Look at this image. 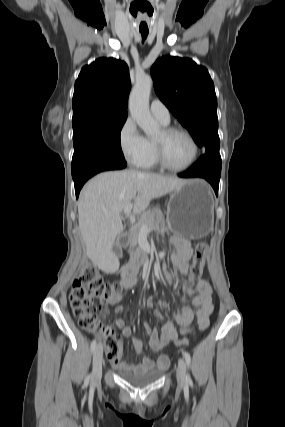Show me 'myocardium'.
Returning a JSON list of instances; mask_svg holds the SVG:
<instances>
[{
  "label": "myocardium",
  "instance_id": "1",
  "mask_svg": "<svg viewBox=\"0 0 285 427\" xmlns=\"http://www.w3.org/2000/svg\"><path fill=\"white\" fill-rule=\"evenodd\" d=\"M176 133H181L183 135H185L191 142L192 146H193V155L190 159V161L185 164L184 166L181 167H175L170 165L165 157V151H164V143L162 140H154V146H155V152H156V158L158 161V164L169 171H173V172H182V171H186L188 169H190L197 161L198 159V155H199V145L195 139V137L192 135V133L190 131H188L187 129L183 128V127H179V126H169V127H165L162 130V134H163V138H167L173 134Z\"/></svg>",
  "mask_w": 285,
  "mask_h": 427
}]
</instances>
